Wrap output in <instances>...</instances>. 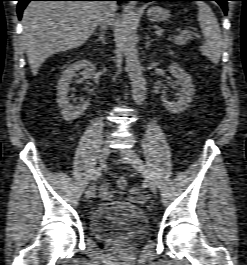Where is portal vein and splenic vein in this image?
Segmentation results:
<instances>
[{
  "instance_id": "18ae733b",
  "label": "portal vein and splenic vein",
  "mask_w": 247,
  "mask_h": 265,
  "mask_svg": "<svg viewBox=\"0 0 247 265\" xmlns=\"http://www.w3.org/2000/svg\"><path fill=\"white\" fill-rule=\"evenodd\" d=\"M190 34H192V35H194V36H196V37H200V35H198V34H196V33H190Z\"/></svg>"
}]
</instances>
